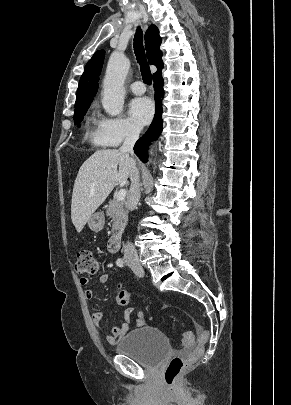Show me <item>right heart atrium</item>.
Here are the masks:
<instances>
[{
	"label": "right heart atrium",
	"instance_id": "1",
	"mask_svg": "<svg viewBox=\"0 0 291 405\" xmlns=\"http://www.w3.org/2000/svg\"><path fill=\"white\" fill-rule=\"evenodd\" d=\"M139 133V128L132 121L122 116H103L98 122L100 141L107 147H117L123 142L135 140Z\"/></svg>",
	"mask_w": 291,
	"mask_h": 405
}]
</instances>
